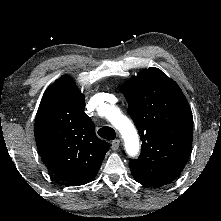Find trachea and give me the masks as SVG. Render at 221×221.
<instances>
[{
  "label": "trachea",
  "mask_w": 221,
  "mask_h": 221,
  "mask_svg": "<svg viewBox=\"0 0 221 221\" xmlns=\"http://www.w3.org/2000/svg\"><path fill=\"white\" fill-rule=\"evenodd\" d=\"M98 135L101 138H104L107 140H114L116 137V133H115L114 129L111 127H108V126H104V127L100 128L98 130Z\"/></svg>",
  "instance_id": "trachea-1"
}]
</instances>
